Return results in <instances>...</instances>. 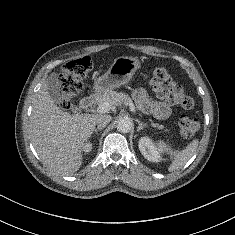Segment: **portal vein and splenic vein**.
I'll list each match as a JSON object with an SVG mask.
<instances>
[{
	"instance_id": "obj_1",
	"label": "portal vein and splenic vein",
	"mask_w": 235,
	"mask_h": 235,
	"mask_svg": "<svg viewBox=\"0 0 235 235\" xmlns=\"http://www.w3.org/2000/svg\"><path fill=\"white\" fill-rule=\"evenodd\" d=\"M126 104L129 106V108H130V110H131L132 112H135V106H134V104H133V102H132L131 100H128V101L126 102ZM110 109H111L110 103H109V102H103V103H101V104L98 105V107H97V112H99V113H106V112H108Z\"/></svg>"
}]
</instances>
